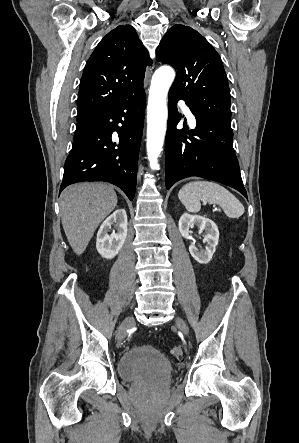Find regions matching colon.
Segmentation results:
<instances>
[{
	"label": "colon",
	"instance_id": "obj_1",
	"mask_svg": "<svg viewBox=\"0 0 299 443\" xmlns=\"http://www.w3.org/2000/svg\"><path fill=\"white\" fill-rule=\"evenodd\" d=\"M172 354L173 356H175L176 358L180 359L183 357V348L180 345H176L172 348Z\"/></svg>",
	"mask_w": 299,
	"mask_h": 443
}]
</instances>
